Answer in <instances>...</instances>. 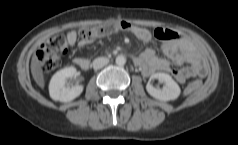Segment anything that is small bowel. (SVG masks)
I'll list each match as a JSON object with an SVG mask.
<instances>
[{"instance_id":"obj_1","label":"small bowel","mask_w":238,"mask_h":145,"mask_svg":"<svg viewBox=\"0 0 238 145\" xmlns=\"http://www.w3.org/2000/svg\"><path fill=\"white\" fill-rule=\"evenodd\" d=\"M129 31L137 37L143 44L148 45L152 39L156 41L167 40L163 44L165 52H174L175 55L171 60L157 56L152 48H147L140 55L134 58L135 65L139 66L144 75H152L160 72L171 71V66L188 64L187 67L181 68L173 72L176 80L179 83H184L190 77H204L207 73V67L200 53L187 41H174L176 34L163 27H154L150 32L148 29L131 26ZM68 40L71 44L76 43V35L71 32L68 35ZM83 44H78V47ZM77 65L82 68L88 66V61L83 58L74 60Z\"/></svg>"}]
</instances>
